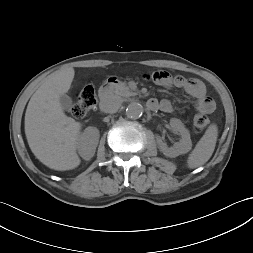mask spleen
Instances as JSON below:
<instances>
[{
	"mask_svg": "<svg viewBox=\"0 0 253 253\" xmlns=\"http://www.w3.org/2000/svg\"><path fill=\"white\" fill-rule=\"evenodd\" d=\"M218 137V128L211 124L198 141L188 157L187 164L190 169L204 165L212 156Z\"/></svg>",
	"mask_w": 253,
	"mask_h": 253,
	"instance_id": "spleen-1",
	"label": "spleen"
}]
</instances>
